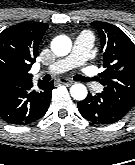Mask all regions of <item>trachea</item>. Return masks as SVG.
Here are the masks:
<instances>
[{"label":"trachea","mask_w":135,"mask_h":165,"mask_svg":"<svg viewBox=\"0 0 135 165\" xmlns=\"http://www.w3.org/2000/svg\"><path fill=\"white\" fill-rule=\"evenodd\" d=\"M74 78H75V80L82 81V82H86L87 81L86 78H84L83 76H80V75H76Z\"/></svg>","instance_id":"3493384b"}]
</instances>
